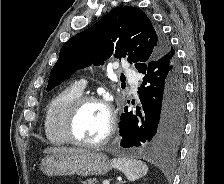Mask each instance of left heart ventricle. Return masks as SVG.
<instances>
[{"label": "left heart ventricle", "mask_w": 224, "mask_h": 184, "mask_svg": "<svg viewBox=\"0 0 224 184\" xmlns=\"http://www.w3.org/2000/svg\"><path fill=\"white\" fill-rule=\"evenodd\" d=\"M109 117L107 110L95 103L85 105L76 120L75 133L84 142H96L107 133Z\"/></svg>", "instance_id": "left-heart-ventricle-1"}]
</instances>
